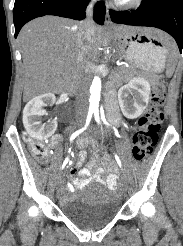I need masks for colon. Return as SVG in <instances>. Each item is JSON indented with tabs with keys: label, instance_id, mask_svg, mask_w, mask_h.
Segmentation results:
<instances>
[{
	"label": "colon",
	"instance_id": "colon-1",
	"mask_svg": "<svg viewBox=\"0 0 183 246\" xmlns=\"http://www.w3.org/2000/svg\"><path fill=\"white\" fill-rule=\"evenodd\" d=\"M166 100V88L163 83L157 82L151 93V104L148 111L138 120L137 129L133 135V157L136 161L143 160L152 151L158 140V132L163 121V106ZM32 155L38 160L47 156V148L43 143L28 141ZM107 149L100 150V156H107Z\"/></svg>",
	"mask_w": 183,
	"mask_h": 246
}]
</instances>
